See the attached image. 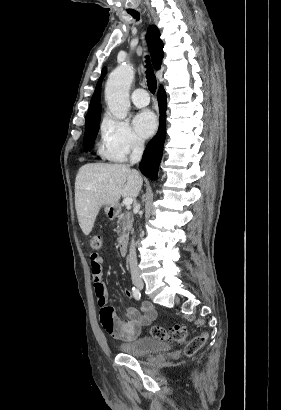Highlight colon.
<instances>
[{"label":"colon","instance_id":"colon-1","mask_svg":"<svg viewBox=\"0 0 281 410\" xmlns=\"http://www.w3.org/2000/svg\"><path fill=\"white\" fill-rule=\"evenodd\" d=\"M91 248L94 250H100L102 248V238L99 235H94L91 238L90 242ZM112 311L111 310H104L102 312V324L104 329H111L112 322L111 317ZM150 334L153 338L168 341V342H175V343H186L185 344V354L187 356L195 355L206 343L207 341V334L202 332L191 340H187V329L184 325L175 324L170 326L169 328H164L162 326H152L150 329Z\"/></svg>","mask_w":281,"mask_h":410}]
</instances>
